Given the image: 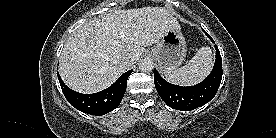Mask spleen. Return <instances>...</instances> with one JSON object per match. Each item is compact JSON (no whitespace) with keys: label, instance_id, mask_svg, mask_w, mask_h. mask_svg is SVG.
I'll use <instances>...</instances> for the list:
<instances>
[{"label":"spleen","instance_id":"1","mask_svg":"<svg viewBox=\"0 0 276 138\" xmlns=\"http://www.w3.org/2000/svg\"><path fill=\"white\" fill-rule=\"evenodd\" d=\"M213 62L211 48L201 47L189 63L179 69L164 73L165 79L173 84L192 86L202 81L210 72Z\"/></svg>","mask_w":276,"mask_h":138}]
</instances>
